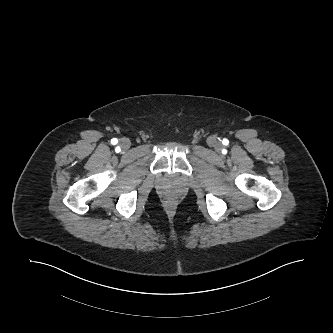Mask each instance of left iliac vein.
<instances>
[{
    "label": "left iliac vein",
    "mask_w": 333,
    "mask_h": 333,
    "mask_svg": "<svg viewBox=\"0 0 333 333\" xmlns=\"http://www.w3.org/2000/svg\"><path fill=\"white\" fill-rule=\"evenodd\" d=\"M212 145H213V147L215 148V150H217V151L219 150V147H220V146H219V143H218V142H213Z\"/></svg>",
    "instance_id": "left-iliac-vein-1"
}]
</instances>
